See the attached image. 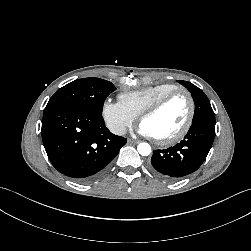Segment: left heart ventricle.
<instances>
[{
	"label": "left heart ventricle",
	"mask_w": 251,
	"mask_h": 251,
	"mask_svg": "<svg viewBox=\"0 0 251 251\" xmlns=\"http://www.w3.org/2000/svg\"><path fill=\"white\" fill-rule=\"evenodd\" d=\"M189 112V103L184 95L172 98L156 114L145 118L141 124L147 127L155 138H167L184 125Z\"/></svg>",
	"instance_id": "left-heart-ventricle-1"
}]
</instances>
